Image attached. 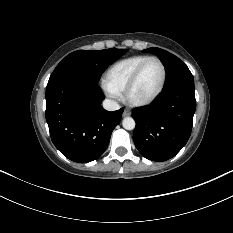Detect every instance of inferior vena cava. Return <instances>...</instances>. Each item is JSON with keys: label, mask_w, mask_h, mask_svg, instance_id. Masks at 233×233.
Returning a JSON list of instances; mask_svg holds the SVG:
<instances>
[{"label": "inferior vena cava", "mask_w": 233, "mask_h": 233, "mask_svg": "<svg viewBox=\"0 0 233 233\" xmlns=\"http://www.w3.org/2000/svg\"><path fill=\"white\" fill-rule=\"evenodd\" d=\"M103 107L107 111H116V110L120 109L119 104L116 101L110 100V99H105L103 101Z\"/></svg>", "instance_id": "1"}]
</instances>
